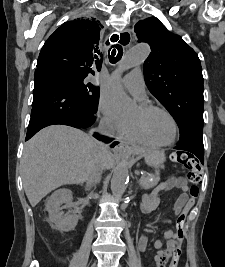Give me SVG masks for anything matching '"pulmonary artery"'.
<instances>
[{
	"label": "pulmonary artery",
	"instance_id": "obj_1",
	"mask_svg": "<svg viewBox=\"0 0 225 267\" xmlns=\"http://www.w3.org/2000/svg\"><path fill=\"white\" fill-rule=\"evenodd\" d=\"M121 83L124 87L130 91L138 100L144 101L145 95V83L143 73L140 69H133L130 73L125 75L121 79Z\"/></svg>",
	"mask_w": 225,
	"mask_h": 267
}]
</instances>
